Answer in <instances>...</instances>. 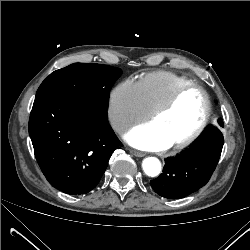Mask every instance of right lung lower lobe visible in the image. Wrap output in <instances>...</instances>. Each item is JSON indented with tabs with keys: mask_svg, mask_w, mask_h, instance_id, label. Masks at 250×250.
<instances>
[{
	"mask_svg": "<svg viewBox=\"0 0 250 250\" xmlns=\"http://www.w3.org/2000/svg\"><path fill=\"white\" fill-rule=\"evenodd\" d=\"M29 135L49 183L75 195L98 184L112 153L122 146L107 109L63 92L35 97Z\"/></svg>",
	"mask_w": 250,
	"mask_h": 250,
	"instance_id": "right-lung-lower-lobe-1",
	"label": "right lung lower lobe"
}]
</instances>
